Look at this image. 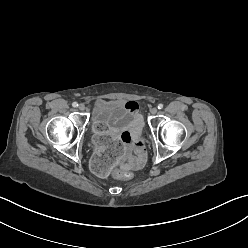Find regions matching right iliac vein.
Listing matches in <instances>:
<instances>
[{
  "instance_id": "obj_1",
  "label": "right iliac vein",
  "mask_w": 248,
  "mask_h": 248,
  "mask_svg": "<svg viewBox=\"0 0 248 248\" xmlns=\"http://www.w3.org/2000/svg\"><path fill=\"white\" fill-rule=\"evenodd\" d=\"M78 108H79V110L84 111L85 110V105L84 104H79Z\"/></svg>"
}]
</instances>
